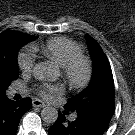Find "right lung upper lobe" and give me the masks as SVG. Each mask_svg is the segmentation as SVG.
<instances>
[{
	"mask_svg": "<svg viewBox=\"0 0 135 135\" xmlns=\"http://www.w3.org/2000/svg\"><path fill=\"white\" fill-rule=\"evenodd\" d=\"M12 31H6L0 34V58L5 57V53L2 47L3 40L11 33Z\"/></svg>",
	"mask_w": 135,
	"mask_h": 135,
	"instance_id": "cb5924a9",
	"label": "right lung upper lobe"
}]
</instances>
